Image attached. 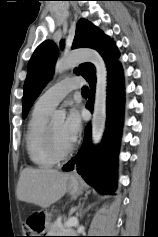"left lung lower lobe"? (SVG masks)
I'll list each match as a JSON object with an SVG mask.
<instances>
[{
  "label": "left lung lower lobe",
  "mask_w": 158,
  "mask_h": 237,
  "mask_svg": "<svg viewBox=\"0 0 158 237\" xmlns=\"http://www.w3.org/2000/svg\"><path fill=\"white\" fill-rule=\"evenodd\" d=\"M91 95L86 107L92 111L95 79L89 81ZM124 85L122 67L119 62L108 69L107 128L103 142L94 148L91 144L90 124L85 129L83 145L63 170L71 171L74 165L82 178L101 193H111L116 187V160L122 127Z\"/></svg>",
  "instance_id": "obj_1"
}]
</instances>
